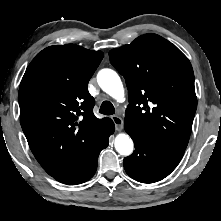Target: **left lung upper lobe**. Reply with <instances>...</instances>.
<instances>
[{"label": "left lung upper lobe", "mask_w": 221, "mask_h": 221, "mask_svg": "<svg viewBox=\"0 0 221 221\" xmlns=\"http://www.w3.org/2000/svg\"><path fill=\"white\" fill-rule=\"evenodd\" d=\"M109 56L126 80L129 105L124 123L153 142L185 150L197 107L188 58L156 34L112 49Z\"/></svg>", "instance_id": "1"}]
</instances>
